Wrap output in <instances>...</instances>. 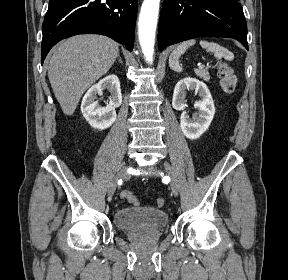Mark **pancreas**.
Returning a JSON list of instances; mask_svg holds the SVG:
<instances>
[{
    "label": "pancreas",
    "mask_w": 288,
    "mask_h": 280,
    "mask_svg": "<svg viewBox=\"0 0 288 280\" xmlns=\"http://www.w3.org/2000/svg\"><path fill=\"white\" fill-rule=\"evenodd\" d=\"M195 73L197 76L204 79L205 81H209L210 79L209 73L206 69H196Z\"/></svg>",
    "instance_id": "pancreas-1"
}]
</instances>
